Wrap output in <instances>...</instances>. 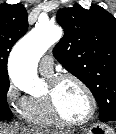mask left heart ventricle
<instances>
[{"mask_svg":"<svg viewBox=\"0 0 116 134\" xmlns=\"http://www.w3.org/2000/svg\"><path fill=\"white\" fill-rule=\"evenodd\" d=\"M51 90L50 84L47 93ZM55 100L59 111L70 120H81L89 112L90 104L84 90L72 81L61 83L56 92Z\"/></svg>","mask_w":116,"mask_h":134,"instance_id":"b2bd125f","label":"left heart ventricle"}]
</instances>
